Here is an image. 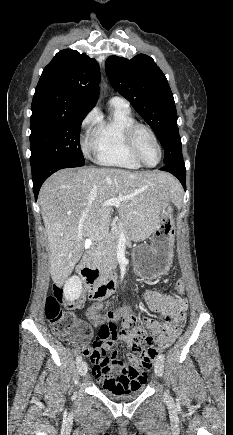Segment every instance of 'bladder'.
I'll use <instances>...</instances> for the list:
<instances>
[{"label":"bladder","mask_w":233,"mask_h":435,"mask_svg":"<svg viewBox=\"0 0 233 435\" xmlns=\"http://www.w3.org/2000/svg\"><path fill=\"white\" fill-rule=\"evenodd\" d=\"M145 389L144 382H141L140 385H137L136 388H134L131 392L128 393H121L117 390H114L111 387H102L101 392L106 395L107 397L113 399V400H128L133 399L137 396H139Z\"/></svg>","instance_id":"bladder-1"}]
</instances>
